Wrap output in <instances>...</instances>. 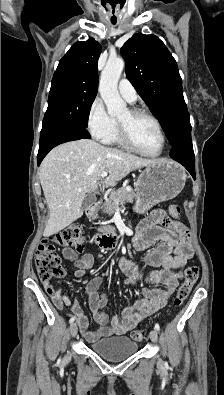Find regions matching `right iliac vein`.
<instances>
[{
	"label": "right iliac vein",
	"instance_id": "right-iliac-vein-1",
	"mask_svg": "<svg viewBox=\"0 0 224 395\" xmlns=\"http://www.w3.org/2000/svg\"><path fill=\"white\" fill-rule=\"evenodd\" d=\"M69 332H70V336H71V337H75V336H76V334H77V332H78V327H77V324H76V323H72V324L70 325Z\"/></svg>",
	"mask_w": 224,
	"mask_h": 395
}]
</instances>
